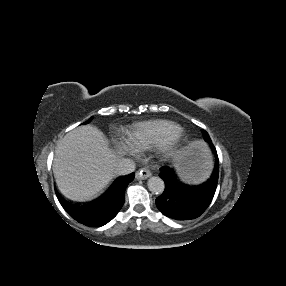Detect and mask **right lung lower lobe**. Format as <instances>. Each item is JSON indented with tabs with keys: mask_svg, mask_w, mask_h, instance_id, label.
Masks as SVG:
<instances>
[{
	"mask_svg": "<svg viewBox=\"0 0 286 286\" xmlns=\"http://www.w3.org/2000/svg\"><path fill=\"white\" fill-rule=\"evenodd\" d=\"M135 174L118 178L109 189L90 204H73L64 200L56 191L57 198L68 214L90 227H100L111 221L119 212L124 203V194L128 184Z\"/></svg>",
	"mask_w": 286,
	"mask_h": 286,
	"instance_id": "obj_1",
	"label": "right lung lower lobe"
}]
</instances>
